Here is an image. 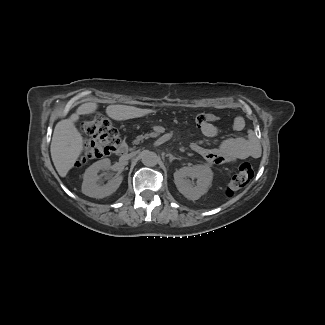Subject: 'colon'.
<instances>
[{
	"instance_id": "colon-1",
	"label": "colon",
	"mask_w": 325,
	"mask_h": 325,
	"mask_svg": "<svg viewBox=\"0 0 325 325\" xmlns=\"http://www.w3.org/2000/svg\"><path fill=\"white\" fill-rule=\"evenodd\" d=\"M217 117L214 114H198L194 117L195 123L200 128L203 124L214 123ZM80 129L88 136L80 161L101 158L113 153L119 146L117 130L111 122L103 116L96 115L81 123ZM254 176V170L250 163H242L236 174L230 180L227 193L244 188Z\"/></svg>"
}]
</instances>
